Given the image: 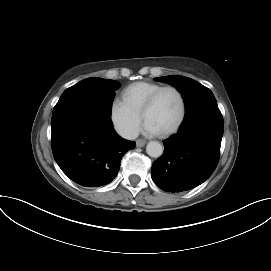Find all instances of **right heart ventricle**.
<instances>
[{
    "instance_id": "right-heart-ventricle-1",
    "label": "right heart ventricle",
    "mask_w": 271,
    "mask_h": 271,
    "mask_svg": "<svg viewBox=\"0 0 271 271\" xmlns=\"http://www.w3.org/2000/svg\"><path fill=\"white\" fill-rule=\"evenodd\" d=\"M161 87V84L155 82L138 81L124 88L122 99L133 111L141 115L147 99Z\"/></svg>"
}]
</instances>
